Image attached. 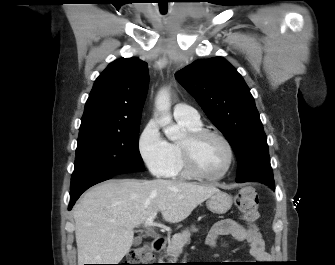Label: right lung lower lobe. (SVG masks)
Masks as SVG:
<instances>
[{"instance_id": "right-lung-lower-lobe-1", "label": "right lung lower lobe", "mask_w": 335, "mask_h": 265, "mask_svg": "<svg viewBox=\"0 0 335 265\" xmlns=\"http://www.w3.org/2000/svg\"><path fill=\"white\" fill-rule=\"evenodd\" d=\"M113 177V175H101V176H96L94 178L88 179L80 184H78L76 187L71 188L70 192V203L68 209L71 210L77 199L80 197V195L89 187L105 181L109 178Z\"/></svg>"}]
</instances>
